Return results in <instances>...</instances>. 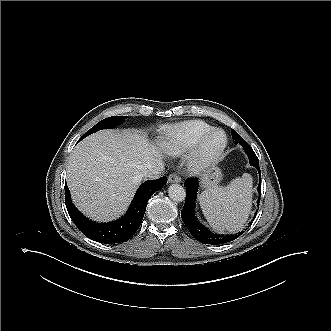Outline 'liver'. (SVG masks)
I'll return each instance as SVG.
<instances>
[{"label":"liver","mask_w":331,"mask_h":331,"mask_svg":"<svg viewBox=\"0 0 331 331\" xmlns=\"http://www.w3.org/2000/svg\"><path fill=\"white\" fill-rule=\"evenodd\" d=\"M165 141L151 144L135 130H103L73 150L67 183L74 204L96 221L118 218L128 208L145 170L163 165Z\"/></svg>","instance_id":"6515ba94"}]
</instances>
